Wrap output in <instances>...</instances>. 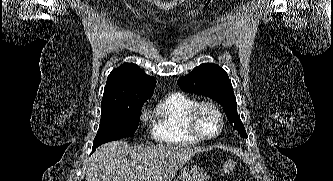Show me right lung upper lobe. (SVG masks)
<instances>
[{"mask_svg":"<svg viewBox=\"0 0 333 181\" xmlns=\"http://www.w3.org/2000/svg\"><path fill=\"white\" fill-rule=\"evenodd\" d=\"M156 80L133 63H125L108 76L102 110L145 102L154 92Z\"/></svg>","mask_w":333,"mask_h":181,"instance_id":"cb5924a9","label":"right lung upper lobe"}]
</instances>
